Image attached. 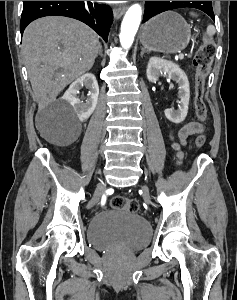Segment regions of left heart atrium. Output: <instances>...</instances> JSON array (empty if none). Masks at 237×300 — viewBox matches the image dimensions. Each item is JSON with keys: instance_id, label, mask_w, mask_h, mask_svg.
I'll return each instance as SVG.
<instances>
[{"instance_id": "obj_1", "label": "left heart atrium", "mask_w": 237, "mask_h": 300, "mask_svg": "<svg viewBox=\"0 0 237 300\" xmlns=\"http://www.w3.org/2000/svg\"><path fill=\"white\" fill-rule=\"evenodd\" d=\"M106 2L114 4V3H120V2H123V1H106Z\"/></svg>"}]
</instances>
